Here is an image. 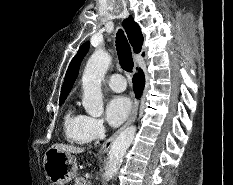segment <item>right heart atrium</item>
Wrapping results in <instances>:
<instances>
[{"label": "right heart atrium", "mask_w": 233, "mask_h": 185, "mask_svg": "<svg viewBox=\"0 0 233 185\" xmlns=\"http://www.w3.org/2000/svg\"><path fill=\"white\" fill-rule=\"evenodd\" d=\"M106 132L103 121L99 118L87 116L85 134L89 142L99 140Z\"/></svg>", "instance_id": "1"}]
</instances>
